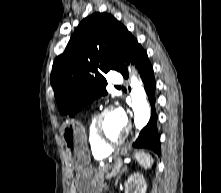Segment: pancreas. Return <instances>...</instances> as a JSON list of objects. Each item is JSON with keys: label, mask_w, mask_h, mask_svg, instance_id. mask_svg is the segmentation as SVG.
<instances>
[{"label": "pancreas", "mask_w": 221, "mask_h": 193, "mask_svg": "<svg viewBox=\"0 0 221 193\" xmlns=\"http://www.w3.org/2000/svg\"><path fill=\"white\" fill-rule=\"evenodd\" d=\"M111 169V166L105 165L103 167H100L98 171L96 172L95 176V192L100 193L103 188L106 186L105 180H106V174H108V171Z\"/></svg>", "instance_id": "cf45deb5"}]
</instances>
